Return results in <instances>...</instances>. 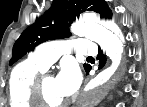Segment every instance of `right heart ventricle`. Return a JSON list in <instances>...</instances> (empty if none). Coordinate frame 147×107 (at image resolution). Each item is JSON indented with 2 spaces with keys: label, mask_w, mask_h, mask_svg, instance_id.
I'll list each match as a JSON object with an SVG mask.
<instances>
[{
  "label": "right heart ventricle",
  "mask_w": 147,
  "mask_h": 107,
  "mask_svg": "<svg viewBox=\"0 0 147 107\" xmlns=\"http://www.w3.org/2000/svg\"><path fill=\"white\" fill-rule=\"evenodd\" d=\"M46 68L27 59L14 67L9 80V100L11 107H33L30 102V89L37 75Z\"/></svg>",
  "instance_id": "right-heart-ventricle-1"
}]
</instances>
